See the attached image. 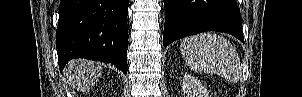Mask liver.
I'll return each instance as SVG.
<instances>
[{
	"instance_id": "6515ba94",
	"label": "liver",
	"mask_w": 302,
	"mask_h": 97,
	"mask_svg": "<svg viewBox=\"0 0 302 97\" xmlns=\"http://www.w3.org/2000/svg\"><path fill=\"white\" fill-rule=\"evenodd\" d=\"M65 74L71 86L77 91L85 92L99 81L102 66L94 61L76 59L66 66Z\"/></svg>"
}]
</instances>
